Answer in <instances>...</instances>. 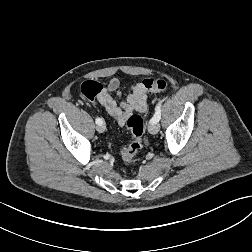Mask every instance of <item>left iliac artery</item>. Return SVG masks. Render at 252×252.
I'll use <instances>...</instances> for the list:
<instances>
[{"label":"left iliac artery","instance_id":"1","mask_svg":"<svg viewBox=\"0 0 252 252\" xmlns=\"http://www.w3.org/2000/svg\"><path fill=\"white\" fill-rule=\"evenodd\" d=\"M161 118V102H159L155 108V114L150 120L151 123H158Z\"/></svg>","mask_w":252,"mask_h":252}]
</instances>
